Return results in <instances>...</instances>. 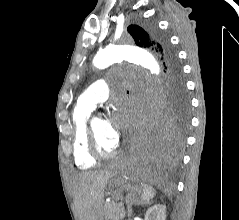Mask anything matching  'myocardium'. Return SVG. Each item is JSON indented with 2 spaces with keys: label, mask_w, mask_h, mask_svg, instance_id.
Listing matches in <instances>:
<instances>
[{
  "label": "myocardium",
  "mask_w": 239,
  "mask_h": 220,
  "mask_svg": "<svg viewBox=\"0 0 239 220\" xmlns=\"http://www.w3.org/2000/svg\"><path fill=\"white\" fill-rule=\"evenodd\" d=\"M93 120L91 119L88 121L87 124V147L88 151L91 154L92 157L95 159H108L113 156H115L119 152V145L116 144V146L109 150V151H103L97 141L94 129H93Z\"/></svg>",
  "instance_id": "obj_1"
}]
</instances>
